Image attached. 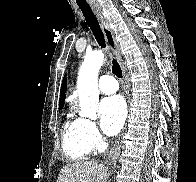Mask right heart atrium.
I'll list each match as a JSON object with an SVG mask.
<instances>
[{
  "label": "right heart atrium",
  "mask_w": 196,
  "mask_h": 182,
  "mask_svg": "<svg viewBox=\"0 0 196 182\" xmlns=\"http://www.w3.org/2000/svg\"><path fill=\"white\" fill-rule=\"evenodd\" d=\"M82 130L84 140L90 150L97 151L103 147V137L93 121L82 119Z\"/></svg>",
  "instance_id": "1"
}]
</instances>
